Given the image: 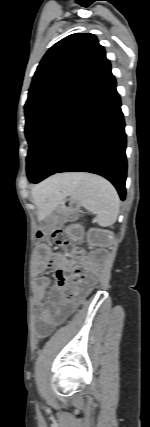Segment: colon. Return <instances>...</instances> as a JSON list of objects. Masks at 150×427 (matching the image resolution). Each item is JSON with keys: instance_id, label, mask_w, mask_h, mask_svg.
<instances>
[{"instance_id": "obj_1", "label": "colon", "mask_w": 150, "mask_h": 427, "mask_svg": "<svg viewBox=\"0 0 150 427\" xmlns=\"http://www.w3.org/2000/svg\"><path fill=\"white\" fill-rule=\"evenodd\" d=\"M55 243L59 246H64L67 244V237L64 232L61 230H57L52 235ZM57 279L59 287L66 289L68 286L72 284H78L83 278V271L80 267L74 268L72 270L61 269L57 271ZM72 296L71 293H66V298H70Z\"/></svg>"}]
</instances>
